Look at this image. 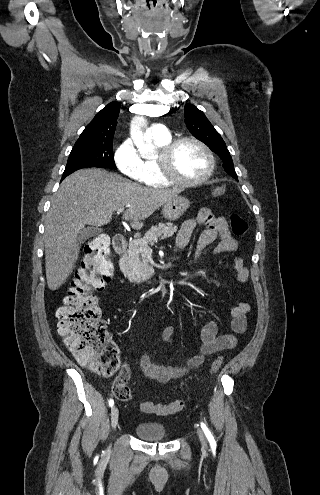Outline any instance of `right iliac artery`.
<instances>
[{
    "label": "right iliac artery",
    "instance_id": "obj_1",
    "mask_svg": "<svg viewBox=\"0 0 320 495\" xmlns=\"http://www.w3.org/2000/svg\"><path fill=\"white\" fill-rule=\"evenodd\" d=\"M114 405V401L112 399L109 400V406L112 407Z\"/></svg>",
    "mask_w": 320,
    "mask_h": 495
}]
</instances>
